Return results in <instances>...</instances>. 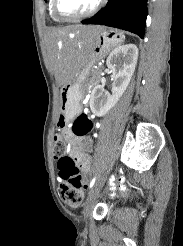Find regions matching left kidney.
I'll return each instance as SVG.
<instances>
[{
    "label": "left kidney",
    "mask_w": 183,
    "mask_h": 246,
    "mask_svg": "<svg viewBox=\"0 0 183 246\" xmlns=\"http://www.w3.org/2000/svg\"><path fill=\"white\" fill-rule=\"evenodd\" d=\"M138 59V48L135 44L121 45L108 56L106 65L113 78L112 95L103 85H96L90 96V109L96 116H104L119 101L128 87Z\"/></svg>",
    "instance_id": "1"
}]
</instances>
